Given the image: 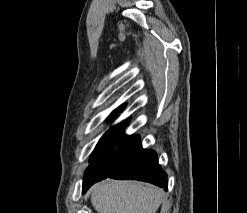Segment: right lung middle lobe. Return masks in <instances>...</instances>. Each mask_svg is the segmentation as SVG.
I'll return each mask as SVG.
<instances>
[{"label":"right lung middle lobe","instance_id":"1","mask_svg":"<svg viewBox=\"0 0 247 213\" xmlns=\"http://www.w3.org/2000/svg\"><path fill=\"white\" fill-rule=\"evenodd\" d=\"M121 111V110H118ZM117 117L116 114L111 115L109 117V120H113ZM127 120L121 122L120 124L110 128L100 139L98 142L95 150L93 151V154L90 158V165L85 171V178L83 180V183L86 184L92 179H94L98 173V166L101 160H103L114 148L116 145L119 137L123 133V129L127 125Z\"/></svg>","mask_w":247,"mask_h":213}]
</instances>
